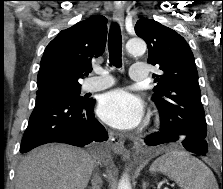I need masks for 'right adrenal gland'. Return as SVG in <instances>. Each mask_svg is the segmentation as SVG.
I'll use <instances>...</instances> for the list:
<instances>
[{
  "instance_id": "obj_1",
  "label": "right adrenal gland",
  "mask_w": 223,
  "mask_h": 189,
  "mask_svg": "<svg viewBox=\"0 0 223 189\" xmlns=\"http://www.w3.org/2000/svg\"><path fill=\"white\" fill-rule=\"evenodd\" d=\"M92 186L89 189H101L102 181L99 177L94 176L91 180Z\"/></svg>"
}]
</instances>
